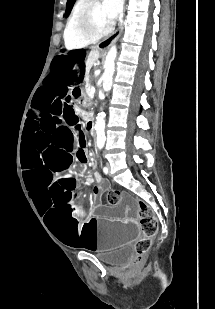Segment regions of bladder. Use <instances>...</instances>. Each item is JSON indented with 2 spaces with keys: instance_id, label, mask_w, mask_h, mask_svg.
I'll use <instances>...</instances> for the list:
<instances>
[{
  "instance_id": "obj_1",
  "label": "bladder",
  "mask_w": 215,
  "mask_h": 309,
  "mask_svg": "<svg viewBox=\"0 0 215 309\" xmlns=\"http://www.w3.org/2000/svg\"><path fill=\"white\" fill-rule=\"evenodd\" d=\"M133 255V248L131 246H124L111 253L99 254L98 259L107 265L120 266L130 261Z\"/></svg>"
}]
</instances>
